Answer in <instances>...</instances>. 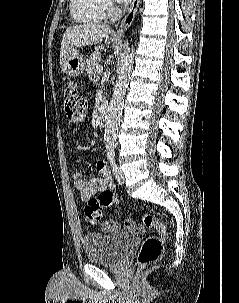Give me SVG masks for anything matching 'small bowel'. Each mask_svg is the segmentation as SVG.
I'll use <instances>...</instances> for the list:
<instances>
[{"instance_id": "obj_1", "label": "small bowel", "mask_w": 239, "mask_h": 303, "mask_svg": "<svg viewBox=\"0 0 239 303\" xmlns=\"http://www.w3.org/2000/svg\"><path fill=\"white\" fill-rule=\"evenodd\" d=\"M82 120L83 118H79L77 121ZM95 170L98 176L90 179H85L81 171L72 172L75 187L80 191L83 201H88L98 191L114 189V183L107 165L100 161L96 164ZM136 227L135 222L131 219L126 220L123 224L113 220H107L102 224V230L112 234H119L121 231H131L136 229Z\"/></svg>"}]
</instances>
